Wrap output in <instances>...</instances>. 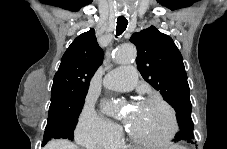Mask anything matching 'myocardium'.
I'll use <instances>...</instances> for the list:
<instances>
[{
  "mask_svg": "<svg viewBox=\"0 0 227 149\" xmlns=\"http://www.w3.org/2000/svg\"><path fill=\"white\" fill-rule=\"evenodd\" d=\"M148 102L160 104L167 109V111L169 112V115H170V119H171L170 132L161 139H146V138H143V137L135 134L129 127V129L127 130L128 135L130 136L131 140L138 145H142V146L168 145L173 140V138L175 137V135L178 132V120H177L176 112H175L174 108L163 98L151 96V97H147V98H144L141 100V104L148 103Z\"/></svg>",
  "mask_w": 227,
  "mask_h": 149,
  "instance_id": "obj_1",
  "label": "myocardium"
}]
</instances>
